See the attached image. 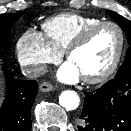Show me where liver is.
<instances>
[{
  "label": "liver",
  "mask_w": 131,
  "mask_h": 131,
  "mask_svg": "<svg viewBox=\"0 0 131 131\" xmlns=\"http://www.w3.org/2000/svg\"><path fill=\"white\" fill-rule=\"evenodd\" d=\"M0 93H1V82H0Z\"/></svg>",
  "instance_id": "liver-1"
}]
</instances>
